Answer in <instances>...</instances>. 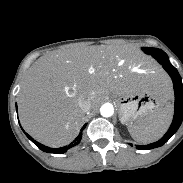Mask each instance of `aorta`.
<instances>
[{"instance_id": "aorta-1", "label": "aorta", "mask_w": 183, "mask_h": 183, "mask_svg": "<svg viewBox=\"0 0 183 183\" xmlns=\"http://www.w3.org/2000/svg\"><path fill=\"white\" fill-rule=\"evenodd\" d=\"M100 113L103 117H111L114 113L113 105L110 103H105L100 108Z\"/></svg>"}]
</instances>
